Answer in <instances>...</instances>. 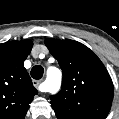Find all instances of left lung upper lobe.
<instances>
[{
	"label": "left lung upper lobe",
	"mask_w": 119,
	"mask_h": 119,
	"mask_svg": "<svg viewBox=\"0 0 119 119\" xmlns=\"http://www.w3.org/2000/svg\"><path fill=\"white\" fill-rule=\"evenodd\" d=\"M45 45L63 72L61 90L51 96L56 116L105 119L114 90L111 77L100 59L74 40L48 38Z\"/></svg>",
	"instance_id": "1"
}]
</instances>
